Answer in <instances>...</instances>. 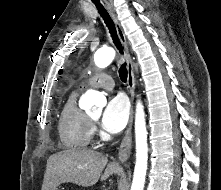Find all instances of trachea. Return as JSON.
Instances as JSON below:
<instances>
[{
    "mask_svg": "<svg viewBox=\"0 0 221 190\" xmlns=\"http://www.w3.org/2000/svg\"><path fill=\"white\" fill-rule=\"evenodd\" d=\"M94 4L97 7V9H98L101 17L103 18L106 26L108 27L110 35L113 39V42H114L115 46L119 50L120 54H123V47H122V45H121V43L118 39L116 29H115V26H114V23H113L111 17L109 16L108 12L105 10V8L101 5L100 2L94 1ZM119 77H120L121 81H123V82L127 81L128 72H127V68H126V63H123V64L120 65Z\"/></svg>",
    "mask_w": 221,
    "mask_h": 190,
    "instance_id": "obj_1",
    "label": "trachea"
}]
</instances>
